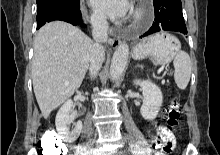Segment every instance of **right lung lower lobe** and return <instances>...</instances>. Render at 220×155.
I'll return each instance as SVG.
<instances>
[{
  "label": "right lung lower lobe",
  "mask_w": 220,
  "mask_h": 155,
  "mask_svg": "<svg viewBox=\"0 0 220 155\" xmlns=\"http://www.w3.org/2000/svg\"><path fill=\"white\" fill-rule=\"evenodd\" d=\"M37 29L43 26L47 22L60 20L66 21L73 25L84 26L82 15L79 7L58 6L53 7L42 12H38L37 16Z\"/></svg>",
  "instance_id": "right-lung-lower-lobe-1"
}]
</instances>
